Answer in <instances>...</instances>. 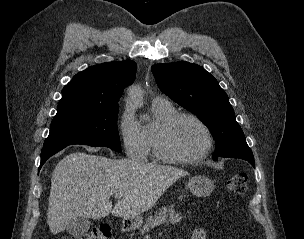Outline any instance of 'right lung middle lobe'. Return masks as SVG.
I'll return each mask as SVG.
<instances>
[{
    "mask_svg": "<svg viewBox=\"0 0 304 239\" xmlns=\"http://www.w3.org/2000/svg\"><path fill=\"white\" fill-rule=\"evenodd\" d=\"M117 113L118 105L57 112L43 149L83 144L105 146L121 152Z\"/></svg>",
    "mask_w": 304,
    "mask_h": 239,
    "instance_id": "right-lung-middle-lobe-1",
    "label": "right lung middle lobe"
}]
</instances>
